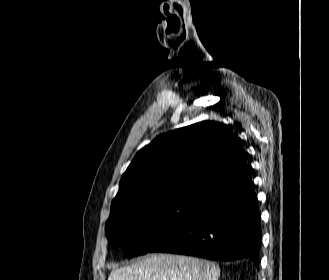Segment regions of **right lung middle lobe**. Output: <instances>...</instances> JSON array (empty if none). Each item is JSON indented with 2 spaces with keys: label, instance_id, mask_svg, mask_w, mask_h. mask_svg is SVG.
<instances>
[{
  "label": "right lung middle lobe",
  "instance_id": "dd1d6c3e",
  "mask_svg": "<svg viewBox=\"0 0 329 280\" xmlns=\"http://www.w3.org/2000/svg\"><path fill=\"white\" fill-rule=\"evenodd\" d=\"M201 197L175 196L111 205L105 233L109 244L121 247L128 257L148 253L178 229Z\"/></svg>",
  "mask_w": 329,
  "mask_h": 280
}]
</instances>
